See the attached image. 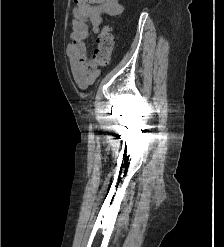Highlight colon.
<instances>
[{
    "mask_svg": "<svg viewBox=\"0 0 224 247\" xmlns=\"http://www.w3.org/2000/svg\"><path fill=\"white\" fill-rule=\"evenodd\" d=\"M78 4L79 0H74ZM114 36L109 27H105L97 38V46L93 53V61L96 65L105 66L109 63L113 49Z\"/></svg>",
    "mask_w": 224,
    "mask_h": 247,
    "instance_id": "obj_1",
    "label": "colon"
}]
</instances>
